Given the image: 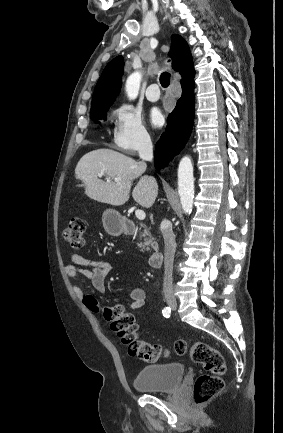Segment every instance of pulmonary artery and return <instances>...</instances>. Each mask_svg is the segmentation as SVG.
<instances>
[{"mask_svg": "<svg viewBox=\"0 0 283 433\" xmlns=\"http://www.w3.org/2000/svg\"><path fill=\"white\" fill-rule=\"evenodd\" d=\"M147 90L148 91H146V98L149 100V101H157V100H159L160 99V95L159 94H157V90H158V85L156 84V83H149L148 85H147Z\"/></svg>", "mask_w": 283, "mask_h": 433, "instance_id": "e3ab8cb5", "label": "pulmonary artery"}]
</instances>
